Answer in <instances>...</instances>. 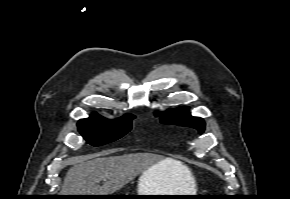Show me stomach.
Here are the masks:
<instances>
[{"mask_svg":"<svg viewBox=\"0 0 290 199\" xmlns=\"http://www.w3.org/2000/svg\"><path fill=\"white\" fill-rule=\"evenodd\" d=\"M137 195H178L170 191L167 175H159L158 166H152L139 177ZM143 198V197H141ZM153 199H185L182 197H151Z\"/></svg>","mask_w":290,"mask_h":199,"instance_id":"stomach-1","label":"stomach"}]
</instances>
